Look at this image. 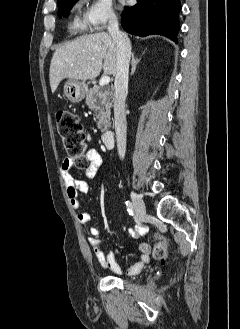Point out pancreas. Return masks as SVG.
<instances>
[{"mask_svg":"<svg viewBox=\"0 0 240 329\" xmlns=\"http://www.w3.org/2000/svg\"><path fill=\"white\" fill-rule=\"evenodd\" d=\"M112 98V92L106 87L95 86L86 92V104L94 111L101 132H106L111 127Z\"/></svg>","mask_w":240,"mask_h":329,"instance_id":"pancreas-1","label":"pancreas"}]
</instances>
